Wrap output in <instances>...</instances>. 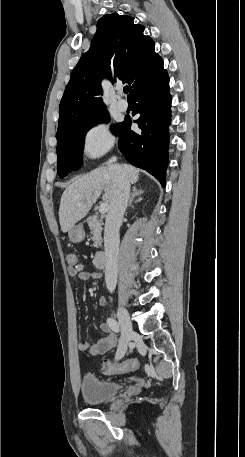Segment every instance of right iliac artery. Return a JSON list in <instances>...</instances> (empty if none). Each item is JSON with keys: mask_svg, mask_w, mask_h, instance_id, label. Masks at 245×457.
I'll use <instances>...</instances> for the list:
<instances>
[{"mask_svg": "<svg viewBox=\"0 0 245 457\" xmlns=\"http://www.w3.org/2000/svg\"><path fill=\"white\" fill-rule=\"evenodd\" d=\"M107 324L108 326L116 333H119L120 332V326H119V323L113 319V318H108L107 319Z\"/></svg>", "mask_w": 245, "mask_h": 457, "instance_id": "82829eb1", "label": "right iliac artery"}]
</instances>
